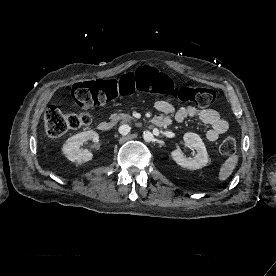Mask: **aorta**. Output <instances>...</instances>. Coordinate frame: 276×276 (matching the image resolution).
I'll return each mask as SVG.
<instances>
[{
    "label": "aorta",
    "mask_w": 276,
    "mask_h": 276,
    "mask_svg": "<svg viewBox=\"0 0 276 276\" xmlns=\"http://www.w3.org/2000/svg\"><path fill=\"white\" fill-rule=\"evenodd\" d=\"M143 138H144V140H145L146 142H151V141L154 140V136H153V134H152L150 131L144 132Z\"/></svg>",
    "instance_id": "aorta-1"
}]
</instances>
